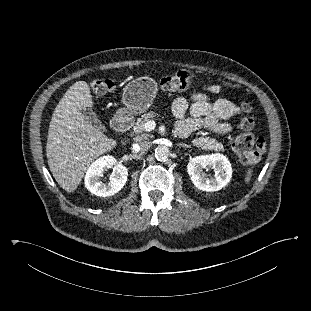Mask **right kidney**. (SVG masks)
I'll return each instance as SVG.
<instances>
[{
	"label": "right kidney",
	"instance_id": "right-kidney-1",
	"mask_svg": "<svg viewBox=\"0 0 311 311\" xmlns=\"http://www.w3.org/2000/svg\"><path fill=\"white\" fill-rule=\"evenodd\" d=\"M106 168H113V174L108 183L100 181ZM128 170L118 163L113 156H103L93 162L88 168L85 176V187L96 196L107 197L119 192L125 185Z\"/></svg>",
	"mask_w": 311,
	"mask_h": 311
}]
</instances>
